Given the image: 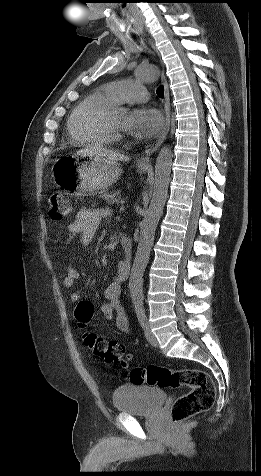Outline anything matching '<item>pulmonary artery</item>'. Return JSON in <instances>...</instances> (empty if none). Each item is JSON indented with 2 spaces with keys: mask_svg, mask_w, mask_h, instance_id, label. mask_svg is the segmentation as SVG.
<instances>
[{
  "mask_svg": "<svg viewBox=\"0 0 261 476\" xmlns=\"http://www.w3.org/2000/svg\"><path fill=\"white\" fill-rule=\"evenodd\" d=\"M104 90L118 103L145 102L149 99L146 88L135 80H122L105 86Z\"/></svg>",
  "mask_w": 261,
  "mask_h": 476,
  "instance_id": "obj_1",
  "label": "pulmonary artery"
}]
</instances>
